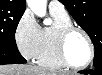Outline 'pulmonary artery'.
<instances>
[{"mask_svg": "<svg viewBox=\"0 0 102 75\" xmlns=\"http://www.w3.org/2000/svg\"><path fill=\"white\" fill-rule=\"evenodd\" d=\"M50 11L66 12L64 5L60 1H51L49 3Z\"/></svg>", "mask_w": 102, "mask_h": 75, "instance_id": "e3ab8cb5", "label": "pulmonary artery"}]
</instances>
